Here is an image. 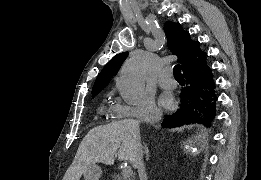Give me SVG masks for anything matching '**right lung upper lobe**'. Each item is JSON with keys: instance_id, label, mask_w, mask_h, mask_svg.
<instances>
[{"instance_id": "obj_1", "label": "right lung upper lobe", "mask_w": 261, "mask_h": 180, "mask_svg": "<svg viewBox=\"0 0 261 180\" xmlns=\"http://www.w3.org/2000/svg\"><path fill=\"white\" fill-rule=\"evenodd\" d=\"M164 31L167 38V46L174 55L178 56L182 71L206 61L207 54L200 50V43L192 41L190 34L185 32L179 23L167 21L164 25ZM127 56L128 52L117 54L103 68L94 83L92 89L93 96L97 95L110 82Z\"/></svg>"}]
</instances>
